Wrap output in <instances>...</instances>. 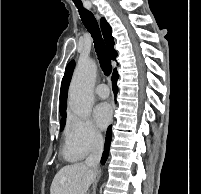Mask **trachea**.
I'll return each instance as SVG.
<instances>
[{
	"label": "trachea",
	"instance_id": "trachea-1",
	"mask_svg": "<svg viewBox=\"0 0 201 194\" xmlns=\"http://www.w3.org/2000/svg\"><path fill=\"white\" fill-rule=\"evenodd\" d=\"M76 7L79 10L80 17L83 21V24L90 32L93 40L95 50L98 56V60L100 63V67L106 76L110 75L112 72V65L111 60L105 46L104 40L101 36V32L98 26V23L92 14V12L88 11L87 9L83 8L81 2H76L74 0Z\"/></svg>",
	"mask_w": 201,
	"mask_h": 194
}]
</instances>
